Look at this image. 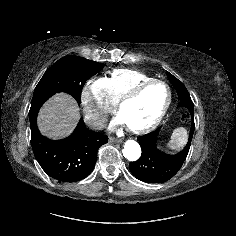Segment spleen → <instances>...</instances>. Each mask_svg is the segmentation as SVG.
Returning <instances> with one entry per match:
<instances>
[{
  "mask_svg": "<svg viewBox=\"0 0 236 236\" xmlns=\"http://www.w3.org/2000/svg\"><path fill=\"white\" fill-rule=\"evenodd\" d=\"M188 141V134L185 128L180 127L173 131L171 140L167 144V149L179 151Z\"/></svg>",
  "mask_w": 236,
  "mask_h": 236,
  "instance_id": "obj_1",
  "label": "spleen"
}]
</instances>
